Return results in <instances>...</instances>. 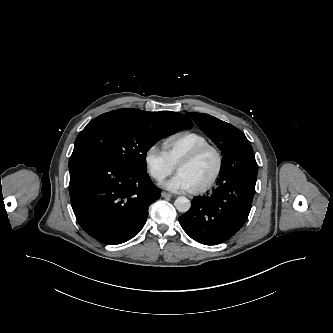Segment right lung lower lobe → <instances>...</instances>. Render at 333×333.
I'll list each match as a JSON object with an SVG mask.
<instances>
[{"label": "right lung lower lobe", "instance_id": "obj_1", "mask_svg": "<svg viewBox=\"0 0 333 333\" xmlns=\"http://www.w3.org/2000/svg\"><path fill=\"white\" fill-rule=\"evenodd\" d=\"M69 171L76 219L87 234L105 244L133 238L146 223L150 204L160 198L161 190L146 172L128 170L88 148L73 150Z\"/></svg>", "mask_w": 333, "mask_h": 333}]
</instances>
